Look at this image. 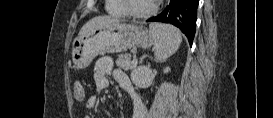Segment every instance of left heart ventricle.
<instances>
[{"mask_svg":"<svg viewBox=\"0 0 273 118\" xmlns=\"http://www.w3.org/2000/svg\"><path fill=\"white\" fill-rule=\"evenodd\" d=\"M153 4V0H130L131 9L136 12H145Z\"/></svg>","mask_w":273,"mask_h":118,"instance_id":"obj_1","label":"left heart ventricle"}]
</instances>
